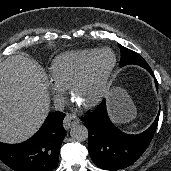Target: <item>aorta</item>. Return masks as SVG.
<instances>
[{"label": "aorta", "instance_id": "obj_1", "mask_svg": "<svg viewBox=\"0 0 171 171\" xmlns=\"http://www.w3.org/2000/svg\"><path fill=\"white\" fill-rule=\"evenodd\" d=\"M70 136L76 142H83L88 138V129L83 124H75L70 130Z\"/></svg>", "mask_w": 171, "mask_h": 171}]
</instances>
